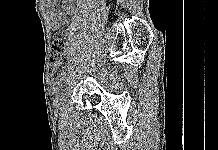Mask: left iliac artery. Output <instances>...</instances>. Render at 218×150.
<instances>
[{"label": "left iliac artery", "mask_w": 218, "mask_h": 150, "mask_svg": "<svg viewBox=\"0 0 218 150\" xmlns=\"http://www.w3.org/2000/svg\"><path fill=\"white\" fill-rule=\"evenodd\" d=\"M69 73L67 72V71H64L63 72V76L59 79V81L57 82V86H56V88H55V91L56 92H59L60 90H61V88H62V86H63V83H64V81H65V76H67Z\"/></svg>", "instance_id": "44dca946"}]
</instances>
